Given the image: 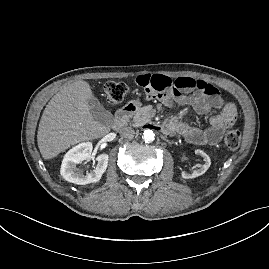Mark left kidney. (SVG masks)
<instances>
[{"mask_svg": "<svg viewBox=\"0 0 269 269\" xmlns=\"http://www.w3.org/2000/svg\"><path fill=\"white\" fill-rule=\"evenodd\" d=\"M195 154L198 156H201L203 158L204 164L199 165L198 169L194 170L192 173H188V172L183 171L181 173V176L184 179H192V178H196V177L204 174L211 165V160L205 152H203L200 149H197V150H195Z\"/></svg>", "mask_w": 269, "mask_h": 269, "instance_id": "left-kidney-1", "label": "left kidney"}]
</instances>
